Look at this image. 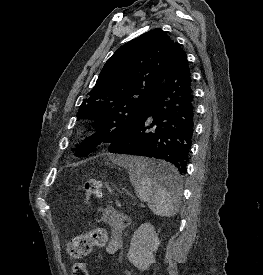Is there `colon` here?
<instances>
[{"label":"colon","mask_w":263,"mask_h":275,"mask_svg":"<svg viewBox=\"0 0 263 275\" xmlns=\"http://www.w3.org/2000/svg\"><path fill=\"white\" fill-rule=\"evenodd\" d=\"M85 201L103 196V183L96 178H88L83 187ZM105 235L102 229H95L83 235L73 237L67 245L68 255L73 259H82L88 255L91 248L100 246ZM72 275H89L86 264L77 262L73 265Z\"/></svg>","instance_id":"colon-1"}]
</instances>
